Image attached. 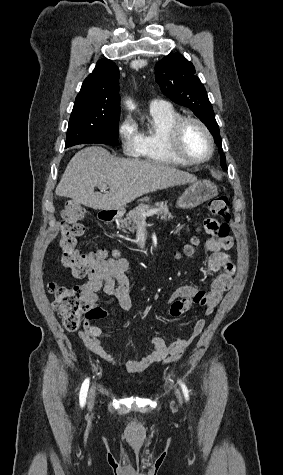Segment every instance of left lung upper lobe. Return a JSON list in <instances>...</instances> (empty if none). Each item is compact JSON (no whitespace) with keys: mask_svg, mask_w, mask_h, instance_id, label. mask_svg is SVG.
Returning <instances> with one entry per match:
<instances>
[{"mask_svg":"<svg viewBox=\"0 0 283 475\" xmlns=\"http://www.w3.org/2000/svg\"><path fill=\"white\" fill-rule=\"evenodd\" d=\"M195 73L193 64L178 53L167 55L155 66L156 82L163 94L172 101L190 108L210 130L215 143L221 144L212 105Z\"/></svg>","mask_w":283,"mask_h":475,"instance_id":"1","label":"left lung upper lobe"}]
</instances>
